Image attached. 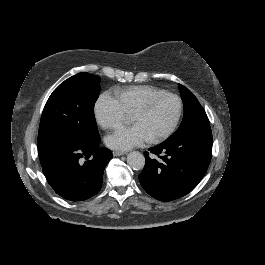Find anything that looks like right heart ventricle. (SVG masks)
<instances>
[{
    "label": "right heart ventricle",
    "mask_w": 265,
    "mask_h": 265,
    "mask_svg": "<svg viewBox=\"0 0 265 265\" xmlns=\"http://www.w3.org/2000/svg\"><path fill=\"white\" fill-rule=\"evenodd\" d=\"M160 91L158 88L150 85L129 86L116 93L123 111L126 114H134L142 102L150 95Z\"/></svg>",
    "instance_id": "right-heart-ventricle-1"
}]
</instances>
